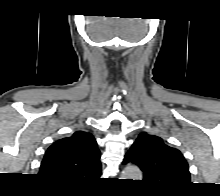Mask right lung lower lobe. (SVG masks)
<instances>
[{
	"mask_svg": "<svg viewBox=\"0 0 220 196\" xmlns=\"http://www.w3.org/2000/svg\"><path fill=\"white\" fill-rule=\"evenodd\" d=\"M53 184L56 186L69 187L68 185H63V184H55V183H53Z\"/></svg>",
	"mask_w": 220,
	"mask_h": 196,
	"instance_id": "obj_1",
	"label": "right lung lower lobe"
}]
</instances>
